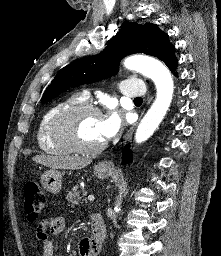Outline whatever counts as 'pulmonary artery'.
<instances>
[{
	"label": "pulmonary artery",
	"mask_w": 221,
	"mask_h": 256,
	"mask_svg": "<svg viewBox=\"0 0 221 256\" xmlns=\"http://www.w3.org/2000/svg\"><path fill=\"white\" fill-rule=\"evenodd\" d=\"M121 93L127 97H140L145 93V85L138 79H127L121 84ZM84 98H88V93L83 94Z\"/></svg>",
	"instance_id": "1"
}]
</instances>
